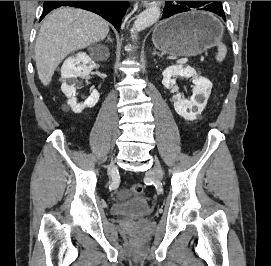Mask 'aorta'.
<instances>
[{"label": "aorta", "instance_id": "aorta-1", "mask_svg": "<svg viewBox=\"0 0 271 266\" xmlns=\"http://www.w3.org/2000/svg\"><path fill=\"white\" fill-rule=\"evenodd\" d=\"M160 15L161 10L158 6H151L150 8L144 10L138 15L134 22L133 28L135 30V33L153 25L155 22L158 21ZM133 37L136 38V34H134Z\"/></svg>", "mask_w": 271, "mask_h": 266}]
</instances>
